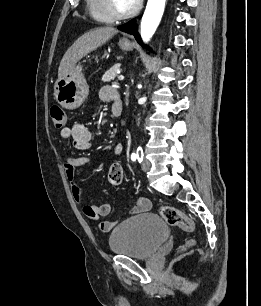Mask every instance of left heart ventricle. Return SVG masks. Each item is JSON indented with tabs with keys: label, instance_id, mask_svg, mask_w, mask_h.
I'll return each mask as SVG.
<instances>
[{
	"label": "left heart ventricle",
	"instance_id": "obj_1",
	"mask_svg": "<svg viewBox=\"0 0 261 306\" xmlns=\"http://www.w3.org/2000/svg\"><path fill=\"white\" fill-rule=\"evenodd\" d=\"M116 8L120 12L131 10L137 3V0H114Z\"/></svg>",
	"mask_w": 261,
	"mask_h": 306
}]
</instances>
